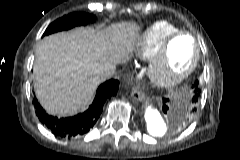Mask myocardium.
<instances>
[{
	"instance_id": "f54148a6",
	"label": "myocardium",
	"mask_w": 240,
	"mask_h": 160,
	"mask_svg": "<svg viewBox=\"0 0 240 160\" xmlns=\"http://www.w3.org/2000/svg\"><path fill=\"white\" fill-rule=\"evenodd\" d=\"M188 37L192 41L194 54L189 64L177 72L160 73L161 68L165 65L167 55L171 44L178 38ZM201 55L200 45L191 33L178 31L169 36L161 45L157 53L148 60L146 66V75L151 83L161 88L172 87L187 77H189L196 69Z\"/></svg>"
}]
</instances>
